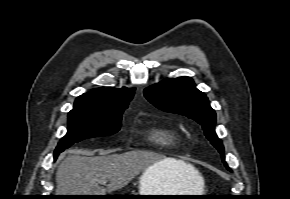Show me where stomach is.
I'll return each instance as SVG.
<instances>
[{"instance_id":"0dacf381","label":"stomach","mask_w":290,"mask_h":199,"mask_svg":"<svg viewBox=\"0 0 290 199\" xmlns=\"http://www.w3.org/2000/svg\"><path fill=\"white\" fill-rule=\"evenodd\" d=\"M159 169L158 165H153L143 171L139 178V195H199L203 188V177L197 174L193 180L195 186L194 192L191 194H176L173 192V187L176 184V177L172 174L158 170L155 175V170ZM154 199H192V197H143Z\"/></svg>"}]
</instances>
